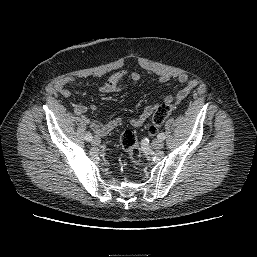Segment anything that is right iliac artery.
I'll return each mask as SVG.
<instances>
[{
    "instance_id": "82829eb1",
    "label": "right iliac artery",
    "mask_w": 257,
    "mask_h": 257,
    "mask_svg": "<svg viewBox=\"0 0 257 257\" xmlns=\"http://www.w3.org/2000/svg\"><path fill=\"white\" fill-rule=\"evenodd\" d=\"M92 139H93V135L91 134V133H87L86 135H85V140L86 141H92Z\"/></svg>"
}]
</instances>
